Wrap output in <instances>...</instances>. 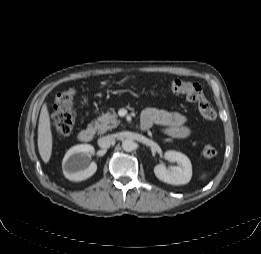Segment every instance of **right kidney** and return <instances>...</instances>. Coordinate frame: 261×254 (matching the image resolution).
Returning <instances> with one entry per match:
<instances>
[{
    "label": "right kidney",
    "instance_id": "right-kidney-1",
    "mask_svg": "<svg viewBox=\"0 0 261 254\" xmlns=\"http://www.w3.org/2000/svg\"><path fill=\"white\" fill-rule=\"evenodd\" d=\"M94 147L89 144H79L70 148L62 162L63 173L71 181H82L91 177L97 170L96 163L89 164Z\"/></svg>",
    "mask_w": 261,
    "mask_h": 254
}]
</instances>
